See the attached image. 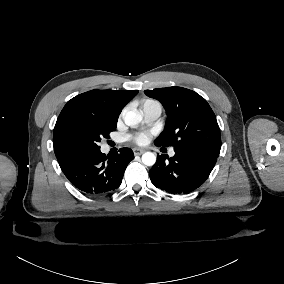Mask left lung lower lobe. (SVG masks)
Instances as JSON below:
<instances>
[{
	"label": "left lung lower lobe",
	"mask_w": 284,
	"mask_h": 284,
	"mask_svg": "<svg viewBox=\"0 0 284 284\" xmlns=\"http://www.w3.org/2000/svg\"><path fill=\"white\" fill-rule=\"evenodd\" d=\"M174 151L171 158L168 155L157 157V162L149 170L151 182L168 193H190L206 181L217 157L194 149L174 148Z\"/></svg>",
	"instance_id": "obj_1"
}]
</instances>
